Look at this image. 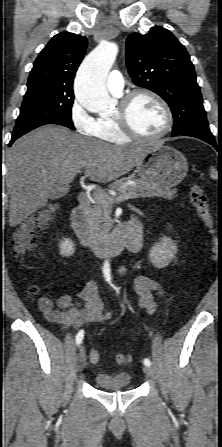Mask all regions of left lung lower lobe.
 I'll use <instances>...</instances> for the list:
<instances>
[{
    "label": "left lung lower lobe",
    "mask_w": 222,
    "mask_h": 447,
    "mask_svg": "<svg viewBox=\"0 0 222 447\" xmlns=\"http://www.w3.org/2000/svg\"><path fill=\"white\" fill-rule=\"evenodd\" d=\"M176 135H186V136H192V137H196L199 138L201 140L206 141L207 143L211 144L214 148H216L217 150H220L219 146H217L214 137L208 138V137H204L201 135H196V134H191V133H181V134H176ZM175 134H173V136H176Z\"/></svg>",
    "instance_id": "0a47b994"
}]
</instances>
